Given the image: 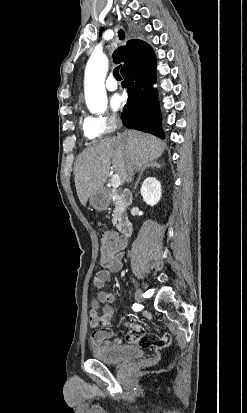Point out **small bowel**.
<instances>
[{"mask_svg":"<svg viewBox=\"0 0 247 413\" xmlns=\"http://www.w3.org/2000/svg\"><path fill=\"white\" fill-rule=\"evenodd\" d=\"M120 250L116 252L112 261L105 265L104 269L99 270L95 274L93 279V285L97 289V293L92 300L88 320L90 328L95 330L92 339L94 346H102L103 349H110L112 347V333L108 326L115 314L113 307L115 297L111 292L106 291L105 287L110 280L111 274L120 271L123 267V253ZM101 304H103L102 310H100ZM143 314L147 319L151 317L147 311H144ZM100 326L104 328L99 329ZM153 328L157 329L158 325L154 324ZM126 335L128 342H133L134 338H142V340L135 342L137 349H166L168 343L173 341L171 334H163L162 331H159L158 334H147L141 322L134 323V329H128ZM115 343L121 344L122 340L116 339Z\"/></svg>","mask_w":247,"mask_h":413,"instance_id":"1","label":"small bowel"}]
</instances>
